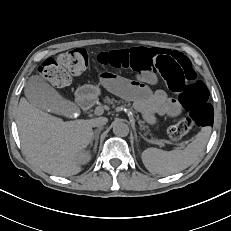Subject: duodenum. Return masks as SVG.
Masks as SVG:
<instances>
[{
	"instance_id": "410a0bca",
	"label": "duodenum",
	"mask_w": 231,
	"mask_h": 231,
	"mask_svg": "<svg viewBox=\"0 0 231 231\" xmlns=\"http://www.w3.org/2000/svg\"><path fill=\"white\" fill-rule=\"evenodd\" d=\"M79 105L84 113H87L93 105V100L90 98H83L79 100Z\"/></svg>"
}]
</instances>
